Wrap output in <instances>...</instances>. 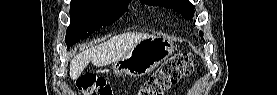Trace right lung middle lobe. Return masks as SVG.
<instances>
[{
  "mask_svg": "<svg viewBox=\"0 0 277 95\" xmlns=\"http://www.w3.org/2000/svg\"><path fill=\"white\" fill-rule=\"evenodd\" d=\"M128 0H72L65 42L69 49L95 30L110 25L127 9Z\"/></svg>",
  "mask_w": 277,
  "mask_h": 95,
  "instance_id": "obj_1",
  "label": "right lung middle lobe"
}]
</instances>
